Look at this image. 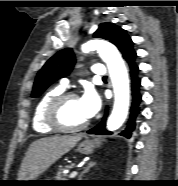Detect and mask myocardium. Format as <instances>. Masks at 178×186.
<instances>
[{
    "label": "myocardium",
    "instance_id": "myocardium-1",
    "mask_svg": "<svg viewBox=\"0 0 178 186\" xmlns=\"http://www.w3.org/2000/svg\"><path fill=\"white\" fill-rule=\"evenodd\" d=\"M74 98H78V95L76 93L63 92L56 96L55 98H53L47 105L44 112V121L51 129L57 132L72 133L84 130L85 128L88 127V125L90 124L89 120L74 127H67L60 121L59 115L63 105L68 100Z\"/></svg>",
    "mask_w": 178,
    "mask_h": 186
}]
</instances>
